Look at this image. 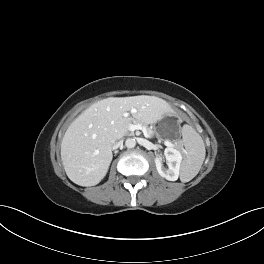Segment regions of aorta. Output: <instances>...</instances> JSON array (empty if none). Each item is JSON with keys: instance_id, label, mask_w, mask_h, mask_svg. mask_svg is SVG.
Listing matches in <instances>:
<instances>
[{"instance_id": "obj_1", "label": "aorta", "mask_w": 264, "mask_h": 264, "mask_svg": "<svg viewBox=\"0 0 264 264\" xmlns=\"http://www.w3.org/2000/svg\"><path fill=\"white\" fill-rule=\"evenodd\" d=\"M125 146L129 149L134 148L136 146V140L134 138H128L125 141Z\"/></svg>"}]
</instances>
